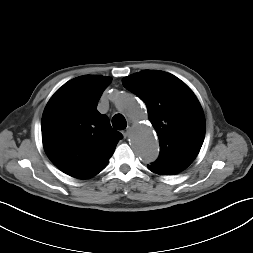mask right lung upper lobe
<instances>
[{"label": "right lung upper lobe", "instance_id": "1", "mask_svg": "<svg viewBox=\"0 0 253 253\" xmlns=\"http://www.w3.org/2000/svg\"><path fill=\"white\" fill-rule=\"evenodd\" d=\"M110 77L84 75L65 83L52 96L42 116L45 152L64 173L87 179L107 165L122 134L97 111Z\"/></svg>", "mask_w": 253, "mask_h": 253}]
</instances>
